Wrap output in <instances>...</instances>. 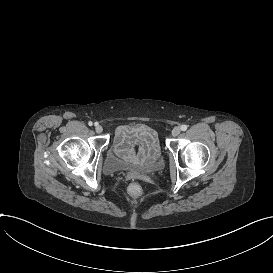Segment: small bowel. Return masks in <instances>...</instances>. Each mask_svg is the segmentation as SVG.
Instances as JSON below:
<instances>
[{
	"mask_svg": "<svg viewBox=\"0 0 273 273\" xmlns=\"http://www.w3.org/2000/svg\"><path fill=\"white\" fill-rule=\"evenodd\" d=\"M136 143L140 145L139 153L137 156H131L128 147ZM114 151L123 159L129 160L133 166L145 161L154 163L159 157V147L155 134L141 123L125 124L118 127Z\"/></svg>",
	"mask_w": 273,
	"mask_h": 273,
	"instance_id": "obj_1",
	"label": "small bowel"
}]
</instances>
